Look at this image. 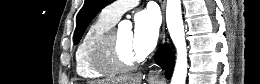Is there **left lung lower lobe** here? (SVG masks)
<instances>
[{"mask_svg": "<svg viewBox=\"0 0 260 84\" xmlns=\"http://www.w3.org/2000/svg\"><path fill=\"white\" fill-rule=\"evenodd\" d=\"M155 61L163 69H165L166 77L170 78L174 66V61H173V56L171 51L166 46L161 47L155 56Z\"/></svg>", "mask_w": 260, "mask_h": 84, "instance_id": "1", "label": "left lung lower lobe"}]
</instances>
